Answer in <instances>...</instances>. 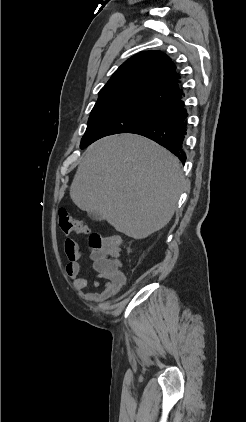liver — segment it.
<instances>
[{"instance_id":"obj_1","label":"liver","mask_w":246,"mask_h":422,"mask_svg":"<svg viewBox=\"0 0 246 422\" xmlns=\"http://www.w3.org/2000/svg\"><path fill=\"white\" fill-rule=\"evenodd\" d=\"M185 179L180 161L145 137L119 134L90 145L81 159L70 197L96 212L118 232L144 239L173 217Z\"/></svg>"}]
</instances>
